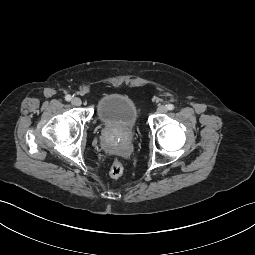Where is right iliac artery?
Here are the masks:
<instances>
[{
  "label": "right iliac artery",
  "instance_id": "right-iliac-artery-1",
  "mask_svg": "<svg viewBox=\"0 0 255 255\" xmlns=\"http://www.w3.org/2000/svg\"><path fill=\"white\" fill-rule=\"evenodd\" d=\"M71 99H72V97L70 95H66V97H65L66 101H71Z\"/></svg>",
  "mask_w": 255,
  "mask_h": 255
}]
</instances>
